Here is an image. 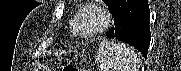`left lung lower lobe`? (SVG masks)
<instances>
[{
    "instance_id": "1",
    "label": "left lung lower lobe",
    "mask_w": 181,
    "mask_h": 71,
    "mask_svg": "<svg viewBox=\"0 0 181 71\" xmlns=\"http://www.w3.org/2000/svg\"><path fill=\"white\" fill-rule=\"evenodd\" d=\"M110 12L115 27L106 36L134 46L146 58L151 40L148 0H116Z\"/></svg>"
}]
</instances>
